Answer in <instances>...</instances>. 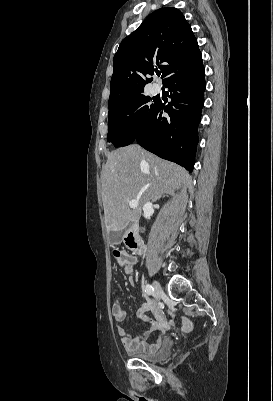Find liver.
<instances>
[{
  "mask_svg": "<svg viewBox=\"0 0 273 401\" xmlns=\"http://www.w3.org/2000/svg\"><path fill=\"white\" fill-rule=\"evenodd\" d=\"M191 178L182 166L158 158L139 144L110 152L101 180L107 233L122 231L131 221L137 223L147 201L155 203L164 192L172 194ZM130 201H138L133 211Z\"/></svg>",
  "mask_w": 273,
  "mask_h": 401,
  "instance_id": "obj_1",
  "label": "liver"
}]
</instances>
